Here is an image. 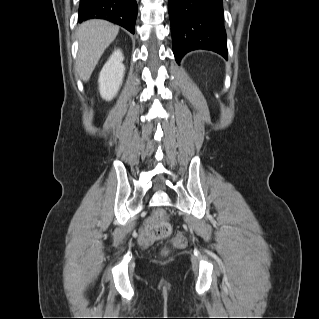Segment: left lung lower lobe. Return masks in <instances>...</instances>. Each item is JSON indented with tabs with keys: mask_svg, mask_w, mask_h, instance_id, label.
<instances>
[{
	"mask_svg": "<svg viewBox=\"0 0 319 319\" xmlns=\"http://www.w3.org/2000/svg\"><path fill=\"white\" fill-rule=\"evenodd\" d=\"M173 53L177 63L195 49L227 59L222 0H168Z\"/></svg>",
	"mask_w": 319,
	"mask_h": 319,
	"instance_id": "1",
	"label": "left lung lower lobe"
}]
</instances>
